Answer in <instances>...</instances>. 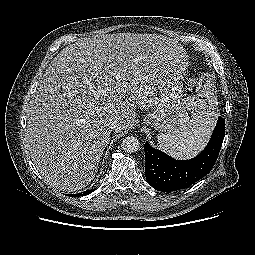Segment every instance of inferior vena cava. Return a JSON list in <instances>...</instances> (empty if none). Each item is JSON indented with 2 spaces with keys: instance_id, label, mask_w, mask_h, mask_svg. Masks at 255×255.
Returning <instances> with one entry per match:
<instances>
[{
  "instance_id": "inferior-vena-cava-1",
  "label": "inferior vena cava",
  "mask_w": 255,
  "mask_h": 255,
  "mask_svg": "<svg viewBox=\"0 0 255 255\" xmlns=\"http://www.w3.org/2000/svg\"><path fill=\"white\" fill-rule=\"evenodd\" d=\"M119 126V121L117 119H112L108 123V127L110 130H116Z\"/></svg>"
}]
</instances>
